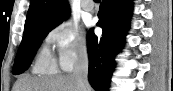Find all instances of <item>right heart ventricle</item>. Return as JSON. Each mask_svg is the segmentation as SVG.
<instances>
[{
	"label": "right heart ventricle",
	"instance_id": "right-heart-ventricle-1",
	"mask_svg": "<svg viewBox=\"0 0 173 91\" xmlns=\"http://www.w3.org/2000/svg\"><path fill=\"white\" fill-rule=\"evenodd\" d=\"M33 71L38 74H54L57 72L56 60L46 48H43L37 55Z\"/></svg>",
	"mask_w": 173,
	"mask_h": 91
}]
</instances>
